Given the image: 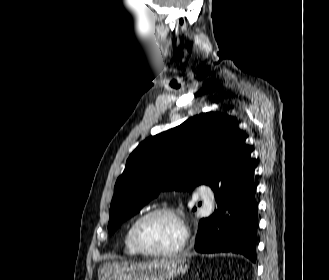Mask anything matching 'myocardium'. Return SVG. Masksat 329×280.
Returning <instances> with one entry per match:
<instances>
[{"instance_id": "myocardium-1", "label": "myocardium", "mask_w": 329, "mask_h": 280, "mask_svg": "<svg viewBox=\"0 0 329 280\" xmlns=\"http://www.w3.org/2000/svg\"><path fill=\"white\" fill-rule=\"evenodd\" d=\"M158 214H166V215H170L171 217H173L176 222L178 223L180 229H181V240L180 242L173 248L168 249V250H152L149 248H146L145 246H143L139 240V229L141 227V225L150 217L158 215ZM189 239V232L188 229L185 225V222L180 214V212L178 210H176L173 207H169V206H159L156 208H153L149 211H147L146 213L142 214L140 217H138L136 219V221L134 222L132 229H131V241L133 246L135 247V249L143 255L146 256H151V257H169V256H173L176 255L178 253H180L187 245Z\"/></svg>"}]
</instances>
